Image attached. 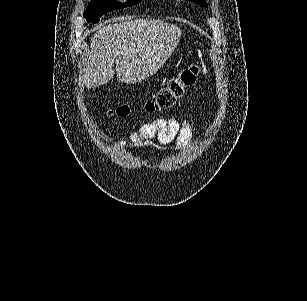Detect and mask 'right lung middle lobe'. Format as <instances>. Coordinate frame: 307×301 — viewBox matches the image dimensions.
<instances>
[{
  "mask_svg": "<svg viewBox=\"0 0 307 301\" xmlns=\"http://www.w3.org/2000/svg\"><path fill=\"white\" fill-rule=\"evenodd\" d=\"M140 1L128 0L126 3H119L115 0H92L83 15L88 22L98 23L103 14L123 7L136 5Z\"/></svg>",
  "mask_w": 307,
  "mask_h": 301,
  "instance_id": "dd1d6c3e",
  "label": "right lung middle lobe"
}]
</instances>
